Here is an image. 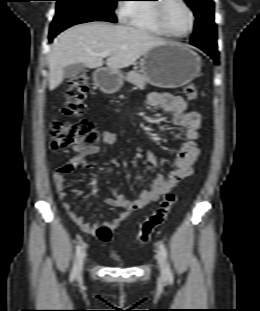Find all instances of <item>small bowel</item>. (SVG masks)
<instances>
[{"mask_svg":"<svg viewBox=\"0 0 260 311\" xmlns=\"http://www.w3.org/2000/svg\"><path fill=\"white\" fill-rule=\"evenodd\" d=\"M147 104L150 108L159 110L163 115H169L171 123L174 126L183 128L185 130V141L182 142L177 155L175 169L167 176L157 174L150 188L142 191L137 199L129 200L122 195L116 194L114 198L104 200L107 205L122 209L113 220L103 224L110 227L111 230H115L123 221L127 220L133 211L158 200L162 195L171 191L181 179L189 176L192 172V166L200 154L198 130L201 117L199 113L189 111L187 103L182 97L173 96L168 93H150L147 98ZM101 141L104 144L115 145L118 143V137L113 132L104 131L101 134ZM75 152V156L54 170L53 183L58 198L62 201V207L69 218L83 232L95 234L98 225L87 222L84 217L73 209L71 203L66 201L67 192L65 182L66 177L76 168H91L92 165L87 161V156L98 154L100 147L95 145L87 149H75ZM147 158L152 164H157V158L152 152H147Z\"/></svg>","mask_w":260,"mask_h":311,"instance_id":"1","label":"small bowel"}]
</instances>
